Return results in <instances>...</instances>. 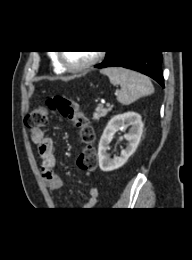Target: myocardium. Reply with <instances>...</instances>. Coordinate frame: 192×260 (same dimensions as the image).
I'll use <instances>...</instances> for the list:
<instances>
[{"mask_svg": "<svg viewBox=\"0 0 192 260\" xmlns=\"http://www.w3.org/2000/svg\"><path fill=\"white\" fill-rule=\"evenodd\" d=\"M100 58H101V54L95 53V55L86 63L79 65V66H72L65 61L62 52L58 53V61H59L60 65L63 67V69L70 71V72H74V73L82 72V71L89 69L90 67L95 65L100 60Z\"/></svg>", "mask_w": 192, "mask_h": 260, "instance_id": "obj_1", "label": "myocardium"}]
</instances>
